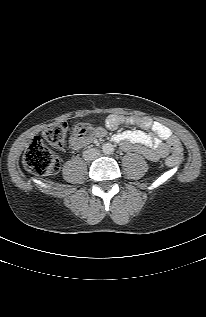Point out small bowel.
I'll list each match as a JSON object with an SVG mask.
<instances>
[{
	"instance_id": "obj_1",
	"label": "small bowel",
	"mask_w": 206,
	"mask_h": 317,
	"mask_svg": "<svg viewBox=\"0 0 206 317\" xmlns=\"http://www.w3.org/2000/svg\"><path fill=\"white\" fill-rule=\"evenodd\" d=\"M131 124L141 127L143 130H128L117 133L113 140L125 150H133L151 161H158L169 153V141L173 137L172 131L165 125L153 121L149 117L109 115L105 121V128L116 129L121 124ZM105 128L100 127L97 135L102 136ZM150 131V132H146ZM87 141L77 142L71 140V147L79 149Z\"/></svg>"
}]
</instances>
